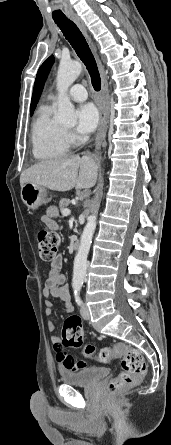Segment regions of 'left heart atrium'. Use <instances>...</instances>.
Here are the masks:
<instances>
[{
  "mask_svg": "<svg viewBox=\"0 0 171 445\" xmlns=\"http://www.w3.org/2000/svg\"><path fill=\"white\" fill-rule=\"evenodd\" d=\"M99 123V111L92 103H86L77 109L76 130L81 134L93 132Z\"/></svg>",
  "mask_w": 171,
  "mask_h": 445,
  "instance_id": "obj_1",
  "label": "left heart atrium"
}]
</instances>
